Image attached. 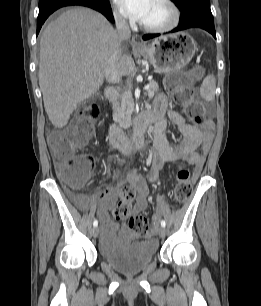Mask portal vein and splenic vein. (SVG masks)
I'll list each match as a JSON object with an SVG mask.
<instances>
[{
  "label": "portal vein and splenic vein",
  "instance_id": "obj_1",
  "mask_svg": "<svg viewBox=\"0 0 261 306\" xmlns=\"http://www.w3.org/2000/svg\"><path fill=\"white\" fill-rule=\"evenodd\" d=\"M149 88H150V85L145 86V89H146L147 91H149ZM150 98H152V97H150Z\"/></svg>",
  "mask_w": 261,
  "mask_h": 306
}]
</instances>
